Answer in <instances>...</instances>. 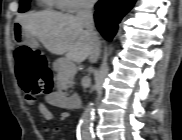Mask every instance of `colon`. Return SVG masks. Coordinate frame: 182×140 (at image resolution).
I'll return each instance as SVG.
<instances>
[{
    "label": "colon",
    "instance_id": "obj_1",
    "mask_svg": "<svg viewBox=\"0 0 182 140\" xmlns=\"http://www.w3.org/2000/svg\"><path fill=\"white\" fill-rule=\"evenodd\" d=\"M16 74L27 102L46 92L50 85V70L44 55L26 46L15 51Z\"/></svg>",
    "mask_w": 182,
    "mask_h": 140
}]
</instances>
